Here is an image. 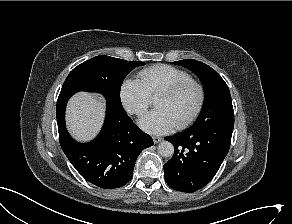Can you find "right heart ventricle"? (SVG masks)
Here are the masks:
<instances>
[{"mask_svg":"<svg viewBox=\"0 0 292 224\" xmlns=\"http://www.w3.org/2000/svg\"><path fill=\"white\" fill-rule=\"evenodd\" d=\"M138 78L151 98L157 97L165 88L192 79L187 71L166 64L145 68Z\"/></svg>","mask_w":292,"mask_h":224,"instance_id":"1","label":"right heart ventricle"}]
</instances>
